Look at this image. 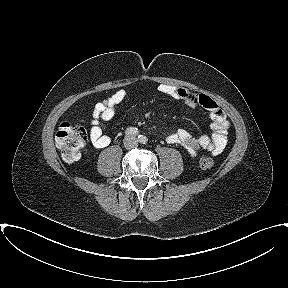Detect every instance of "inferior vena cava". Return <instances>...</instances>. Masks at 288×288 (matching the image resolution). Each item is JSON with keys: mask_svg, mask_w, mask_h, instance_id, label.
Masks as SVG:
<instances>
[{"mask_svg": "<svg viewBox=\"0 0 288 288\" xmlns=\"http://www.w3.org/2000/svg\"><path fill=\"white\" fill-rule=\"evenodd\" d=\"M124 145L127 149H132L138 146L137 140L133 136H128L125 138Z\"/></svg>", "mask_w": 288, "mask_h": 288, "instance_id": "1", "label": "inferior vena cava"}]
</instances>
